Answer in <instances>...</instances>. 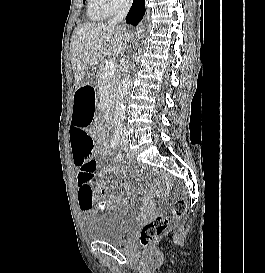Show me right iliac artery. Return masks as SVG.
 Returning a JSON list of instances; mask_svg holds the SVG:
<instances>
[{
  "label": "right iliac artery",
  "instance_id": "right-iliac-artery-1",
  "mask_svg": "<svg viewBox=\"0 0 265 273\" xmlns=\"http://www.w3.org/2000/svg\"><path fill=\"white\" fill-rule=\"evenodd\" d=\"M121 135H122V125L118 124L116 125V130L111 142L113 148H116L118 146Z\"/></svg>",
  "mask_w": 265,
  "mask_h": 273
}]
</instances>
